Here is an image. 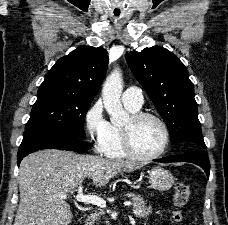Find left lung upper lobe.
<instances>
[{"instance_id":"left-lung-upper-lobe-1","label":"left lung upper lobe","mask_w":228,"mask_h":225,"mask_svg":"<svg viewBox=\"0 0 228 225\" xmlns=\"http://www.w3.org/2000/svg\"><path fill=\"white\" fill-rule=\"evenodd\" d=\"M125 56L135 78L166 122L171 142H186L191 151L205 150L194 87L184 64L158 46Z\"/></svg>"}]
</instances>
